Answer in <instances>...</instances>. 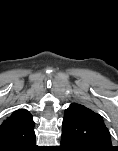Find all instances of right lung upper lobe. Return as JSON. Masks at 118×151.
<instances>
[{
    "label": "right lung upper lobe",
    "mask_w": 118,
    "mask_h": 151,
    "mask_svg": "<svg viewBox=\"0 0 118 151\" xmlns=\"http://www.w3.org/2000/svg\"><path fill=\"white\" fill-rule=\"evenodd\" d=\"M32 115L18 109L0 125V151H23L35 143Z\"/></svg>",
    "instance_id": "obj_1"
}]
</instances>
